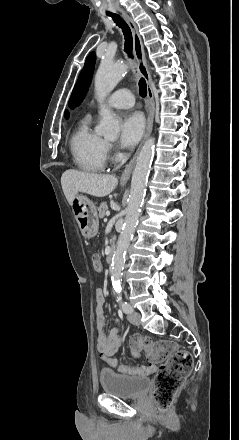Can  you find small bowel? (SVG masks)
I'll use <instances>...</instances> for the list:
<instances>
[{"label": "small bowel", "instance_id": "small-bowel-1", "mask_svg": "<svg viewBox=\"0 0 239 440\" xmlns=\"http://www.w3.org/2000/svg\"><path fill=\"white\" fill-rule=\"evenodd\" d=\"M97 308H96V323H97V348L100 352L101 358L111 365L112 358L117 354L122 346V338L119 334L118 328L114 327L107 335L104 330V293L101 288H98L95 293ZM115 324L118 320L115 319Z\"/></svg>", "mask_w": 239, "mask_h": 440}]
</instances>
